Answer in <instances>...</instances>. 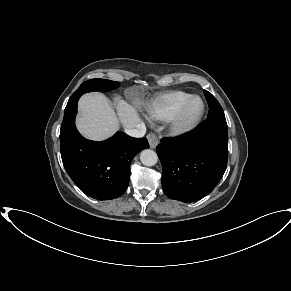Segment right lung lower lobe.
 Listing matches in <instances>:
<instances>
[{"label":"right lung lower lobe","instance_id":"right-lung-lower-lobe-1","mask_svg":"<svg viewBox=\"0 0 291 291\" xmlns=\"http://www.w3.org/2000/svg\"><path fill=\"white\" fill-rule=\"evenodd\" d=\"M78 99L70 97L60 130L63 165L77 187L92 198L109 200L121 196L130 179V164L146 138H132L123 132L102 142L87 140L75 126Z\"/></svg>","mask_w":291,"mask_h":291}]
</instances>
